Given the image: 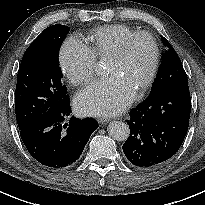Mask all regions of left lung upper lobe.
<instances>
[{
	"mask_svg": "<svg viewBox=\"0 0 205 205\" xmlns=\"http://www.w3.org/2000/svg\"><path fill=\"white\" fill-rule=\"evenodd\" d=\"M161 39L166 50L163 53L162 64L152 85L150 94L164 92L174 86L178 81L187 79L181 60L174 48L163 36H161Z\"/></svg>",
	"mask_w": 205,
	"mask_h": 205,
	"instance_id": "1",
	"label": "left lung upper lobe"
}]
</instances>
